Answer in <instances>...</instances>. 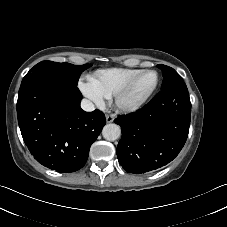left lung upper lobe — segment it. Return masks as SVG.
I'll list each match as a JSON object with an SVG mask.
<instances>
[{
  "label": "left lung upper lobe",
  "instance_id": "left-lung-upper-lobe-1",
  "mask_svg": "<svg viewBox=\"0 0 227 227\" xmlns=\"http://www.w3.org/2000/svg\"><path fill=\"white\" fill-rule=\"evenodd\" d=\"M163 73V82L161 90L171 88V87H186L181 76L171 67L159 64L157 65Z\"/></svg>",
  "mask_w": 227,
  "mask_h": 227
}]
</instances>
